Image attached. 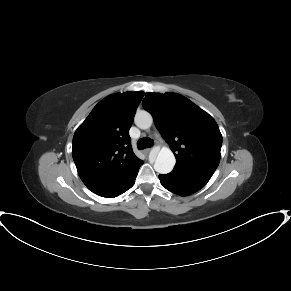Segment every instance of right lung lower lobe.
I'll use <instances>...</instances> for the list:
<instances>
[{
  "mask_svg": "<svg viewBox=\"0 0 291 291\" xmlns=\"http://www.w3.org/2000/svg\"><path fill=\"white\" fill-rule=\"evenodd\" d=\"M140 168V167H139ZM138 168V170H139ZM138 170L133 174V176L124 184L122 185L120 188L113 190L111 192H107V193H103V194H98L102 197H107V198H113V197H117L120 194L124 193L125 191H127L128 189H130L134 183H135V179L136 176L138 174Z\"/></svg>",
  "mask_w": 291,
  "mask_h": 291,
  "instance_id": "1",
  "label": "right lung lower lobe"
}]
</instances>
